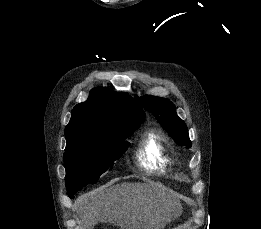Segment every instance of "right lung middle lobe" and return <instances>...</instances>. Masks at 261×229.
Masks as SVG:
<instances>
[{
    "instance_id": "1",
    "label": "right lung middle lobe",
    "mask_w": 261,
    "mask_h": 229,
    "mask_svg": "<svg viewBox=\"0 0 261 229\" xmlns=\"http://www.w3.org/2000/svg\"><path fill=\"white\" fill-rule=\"evenodd\" d=\"M139 124H125L108 129L112 139L89 140L66 146L64 163L66 187L70 198L88 184L98 181L100 175L111 170L113 162L121 157L129 143L123 141Z\"/></svg>"
}]
</instances>
